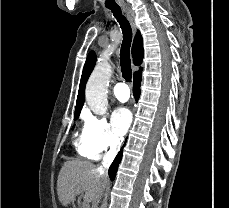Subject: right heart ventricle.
I'll list each match as a JSON object with an SVG mask.
<instances>
[{
  "mask_svg": "<svg viewBox=\"0 0 229 208\" xmlns=\"http://www.w3.org/2000/svg\"><path fill=\"white\" fill-rule=\"evenodd\" d=\"M76 147H77L78 151H79L82 155H85V156H87V157H89V158L95 157V154L92 153V152H90V151H88V150L83 146V144L81 143V141H79V142L76 143Z\"/></svg>",
  "mask_w": 229,
  "mask_h": 208,
  "instance_id": "obj_1",
  "label": "right heart ventricle"
}]
</instances>
